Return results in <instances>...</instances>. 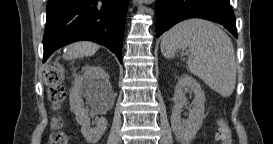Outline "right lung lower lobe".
Here are the masks:
<instances>
[{
  "instance_id": "1",
  "label": "right lung lower lobe",
  "mask_w": 273,
  "mask_h": 144,
  "mask_svg": "<svg viewBox=\"0 0 273 144\" xmlns=\"http://www.w3.org/2000/svg\"><path fill=\"white\" fill-rule=\"evenodd\" d=\"M129 0H49L43 62L58 48L89 40L116 54L121 48Z\"/></svg>"
}]
</instances>
